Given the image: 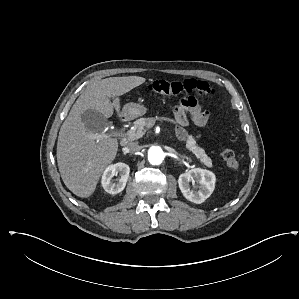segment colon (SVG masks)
I'll return each instance as SVG.
<instances>
[{
  "label": "colon",
  "mask_w": 299,
  "mask_h": 299,
  "mask_svg": "<svg viewBox=\"0 0 299 299\" xmlns=\"http://www.w3.org/2000/svg\"><path fill=\"white\" fill-rule=\"evenodd\" d=\"M149 90L152 93L161 95H179L185 94L186 97H193L197 94L201 96L212 97L215 95V89L212 88L207 82L196 79H185L182 81H169L165 79H158L152 81L149 86ZM222 157L227 166L231 169H237L239 167V161L235 155V152L226 148L222 152Z\"/></svg>",
  "instance_id": "1"
}]
</instances>
